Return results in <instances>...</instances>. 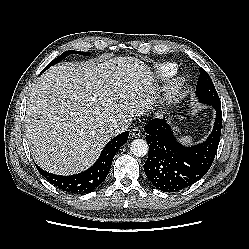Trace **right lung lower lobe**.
<instances>
[{"label":"right lung lower lobe","mask_w":249,"mask_h":249,"mask_svg":"<svg viewBox=\"0 0 249 249\" xmlns=\"http://www.w3.org/2000/svg\"><path fill=\"white\" fill-rule=\"evenodd\" d=\"M129 132H123L113 138L102 150L96 163L84 172L76 175L61 176L48 173L36 165L38 171L57 188L74 193L84 194L95 190L106 178L112 160L119 148L127 142Z\"/></svg>","instance_id":"obj_1"}]
</instances>
